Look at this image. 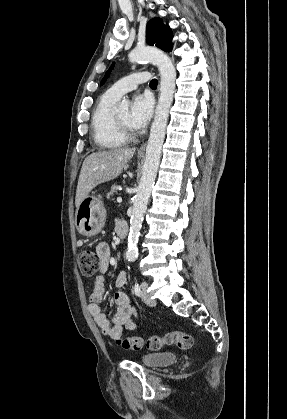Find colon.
I'll return each mask as SVG.
<instances>
[{"label": "colon", "mask_w": 287, "mask_h": 419, "mask_svg": "<svg viewBox=\"0 0 287 419\" xmlns=\"http://www.w3.org/2000/svg\"><path fill=\"white\" fill-rule=\"evenodd\" d=\"M78 263L84 276H93L101 268V258L91 250H83L79 253ZM117 344L127 350H140L144 346L149 350H160L165 346L175 345L179 349L188 350L193 345L191 335L173 331L164 335H153L148 338L130 336L117 339Z\"/></svg>", "instance_id": "colon-1"}]
</instances>
